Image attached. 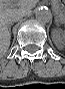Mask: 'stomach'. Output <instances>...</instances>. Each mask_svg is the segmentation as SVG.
<instances>
[{"instance_id": "1", "label": "stomach", "mask_w": 65, "mask_h": 89, "mask_svg": "<svg viewBox=\"0 0 65 89\" xmlns=\"http://www.w3.org/2000/svg\"><path fill=\"white\" fill-rule=\"evenodd\" d=\"M53 9L56 14V17L64 23L65 21V5L63 3H54Z\"/></svg>"}]
</instances>
